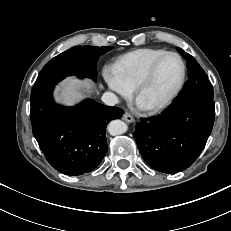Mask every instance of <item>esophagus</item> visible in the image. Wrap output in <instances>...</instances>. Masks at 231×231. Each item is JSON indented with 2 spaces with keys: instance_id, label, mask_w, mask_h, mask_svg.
Returning a JSON list of instances; mask_svg holds the SVG:
<instances>
[{
  "instance_id": "1",
  "label": "esophagus",
  "mask_w": 231,
  "mask_h": 231,
  "mask_svg": "<svg viewBox=\"0 0 231 231\" xmlns=\"http://www.w3.org/2000/svg\"><path fill=\"white\" fill-rule=\"evenodd\" d=\"M123 120L128 122V123H132L134 121V118L128 112H125L123 115Z\"/></svg>"
}]
</instances>
